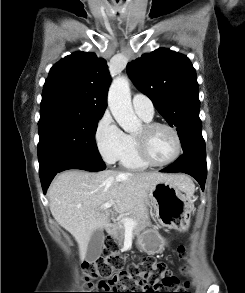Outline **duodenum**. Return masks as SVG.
Here are the masks:
<instances>
[{"instance_id": "1", "label": "duodenum", "mask_w": 245, "mask_h": 293, "mask_svg": "<svg viewBox=\"0 0 245 293\" xmlns=\"http://www.w3.org/2000/svg\"><path fill=\"white\" fill-rule=\"evenodd\" d=\"M106 233H107L108 235H113V234H114V228H113V225H111V224L107 225V227H106Z\"/></svg>"}]
</instances>
